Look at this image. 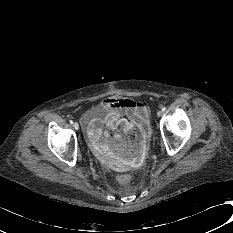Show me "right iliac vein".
<instances>
[{"label":"right iliac vein","mask_w":233,"mask_h":233,"mask_svg":"<svg viewBox=\"0 0 233 233\" xmlns=\"http://www.w3.org/2000/svg\"><path fill=\"white\" fill-rule=\"evenodd\" d=\"M73 127H74L76 130H78V129H79L78 123H74V124H73Z\"/></svg>","instance_id":"right-iliac-vein-1"}]
</instances>
